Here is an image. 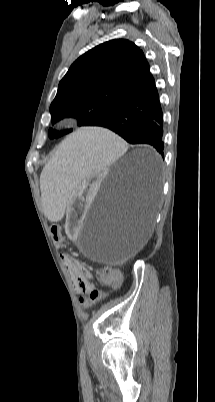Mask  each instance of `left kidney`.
<instances>
[{"label": "left kidney", "instance_id": "left-kidney-1", "mask_svg": "<svg viewBox=\"0 0 215 402\" xmlns=\"http://www.w3.org/2000/svg\"><path fill=\"white\" fill-rule=\"evenodd\" d=\"M106 172L104 169H97L93 175H87L83 179V184H77L76 191L70 193V203L67 207V215L70 220L65 222V233L70 239L75 240L78 237L77 231L81 228L83 212L86 211L92 200L95 198V193H99L102 178Z\"/></svg>", "mask_w": 215, "mask_h": 402}]
</instances>
